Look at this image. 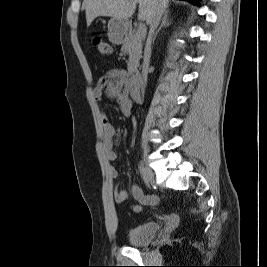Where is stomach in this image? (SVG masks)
<instances>
[{
    "instance_id": "obj_1",
    "label": "stomach",
    "mask_w": 267,
    "mask_h": 267,
    "mask_svg": "<svg viewBox=\"0 0 267 267\" xmlns=\"http://www.w3.org/2000/svg\"><path fill=\"white\" fill-rule=\"evenodd\" d=\"M129 30L130 23L128 20L112 17L108 22V38L112 43H122Z\"/></svg>"
}]
</instances>
